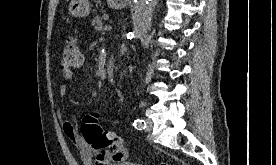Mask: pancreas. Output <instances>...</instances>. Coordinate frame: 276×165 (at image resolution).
Here are the masks:
<instances>
[{
    "label": "pancreas",
    "instance_id": "obj_1",
    "mask_svg": "<svg viewBox=\"0 0 276 165\" xmlns=\"http://www.w3.org/2000/svg\"><path fill=\"white\" fill-rule=\"evenodd\" d=\"M103 19L108 20L109 19L108 15H104L103 17L96 16L95 19L92 21V25L94 26V29L96 31L103 30V27H104V23L102 21Z\"/></svg>",
    "mask_w": 276,
    "mask_h": 165
}]
</instances>
